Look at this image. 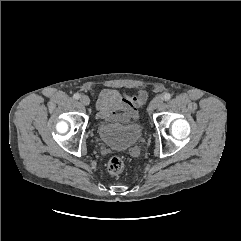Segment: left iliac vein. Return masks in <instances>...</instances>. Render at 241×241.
I'll return each mask as SVG.
<instances>
[{
  "label": "left iliac vein",
  "instance_id": "1",
  "mask_svg": "<svg viewBox=\"0 0 241 241\" xmlns=\"http://www.w3.org/2000/svg\"><path fill=\"white\" fill-rule=\"evenodd\" d=\"M162 103H163V97L162 96H156L151 101L148 111L152 112L154 109L158 108Z\"/></svg>",
  "mask_w": 241,
  "mask_h": 241
}]
</instances>
